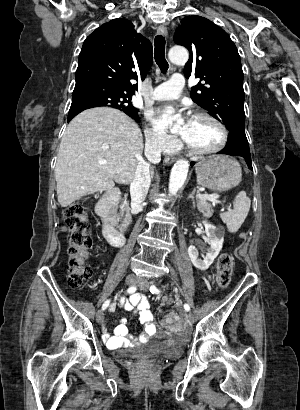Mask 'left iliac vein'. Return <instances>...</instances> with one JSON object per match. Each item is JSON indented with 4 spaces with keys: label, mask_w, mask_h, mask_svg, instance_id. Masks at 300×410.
<instances>
[{
    "label": "left iliac vein",
    "mask_w": 300,
    "mask_h": 410,
    "mask_svg": "<svg viewBox=\"0 0 300 410\" xmlns=\"http://www.w3.org/2000/svg\"><path fill=\"white\" fill-rule=\"evenodd\" d=\"M137 285L143 290H148L150 283L146 278H140L137 281ZM185 316L189 321H193V315L191 313H186Z\"/></svg>",
    "instance_id": "4c4485c4"
}]
</instances>
